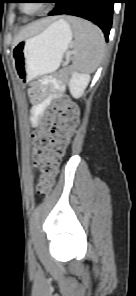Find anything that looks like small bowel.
<instances>
[{"mask_svg":"<svg viewBox=\"0 0 136 296\" xmlns=\"http://www.w3.org/2000/svg\"><path fill=\"white\" fill-rule=\"evenodd\" d=\"M64 85L52 79L43 78L31 86V126L37 128L47 106L54 100L61 98Z\"/></svg>","mask_w":136,"mask_h":296,"instance_id":"c3829d8e","label":"small bowel"}]
</instances>
